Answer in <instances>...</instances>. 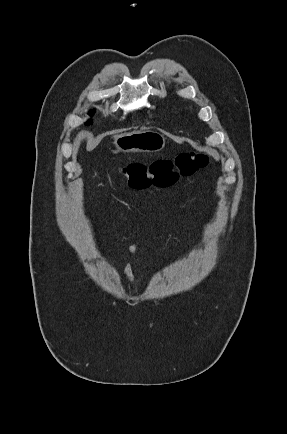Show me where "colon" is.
Returning <instances> with one entry per match:
<instances>
[{
	"label": "colon",
	"instance_id": "obj_1",
	"mask_svg": "<svg viewBox=\"0 0 287 434\" xmlns=\"http://www.w3.org/2000/svg\"><path fill=\"white\" fill-rule=\"evenodd\" d=\"M207 163L208 157L203 153H181L174 160L160 159L149 165L131 163L122 172L131 188L144 190L151 186H171L180 176L192 175Z\"/></svg>",
	"mask_w": 287,
	"mask_h": 434
}]
</instances>
